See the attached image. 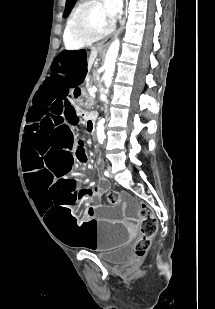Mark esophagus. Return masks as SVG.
Masks as SVG:
<instances>
[{
    "label": "esophagus",
    "instance_id": "34e87169",
    "mask_svg": "<svg viewBox=\"0 0 215 309\" xmlns=\"http://www.w3.org/2000/svg\"><path fill=\"white\" fill-rule=\"evenodd\" d=\"M123 24L124 22L121 24L120 29L117 31L116 35H118L120 33V31L123 29ZM110 43V39L104 40L103 42H101L100 44H98L99 47H107V45Z\"/></svg>",
    "mask_w": 215,
    "mask_h": 309
}]
</instances>
